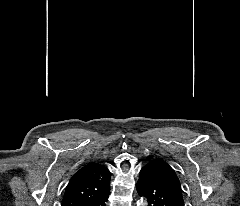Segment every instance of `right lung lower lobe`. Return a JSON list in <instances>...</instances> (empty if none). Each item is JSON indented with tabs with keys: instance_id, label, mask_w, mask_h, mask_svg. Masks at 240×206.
<instances>
[{
	"instance_id": "1",
	"label": "right lung lower lobe",
	"mask_w": 240,
	"mask_h": 206,
	"mask_svg": "<svg viewBox=\"0 0 240 206\" xmlns=\"http://www.w3.org/2000/svg\"><path fill=\"white\" fill-rule=\"evenodd\" d=\"M109 196V191H107L105 194L83 204V206H106V201Z\"/></svg>"
}]
</instances>
